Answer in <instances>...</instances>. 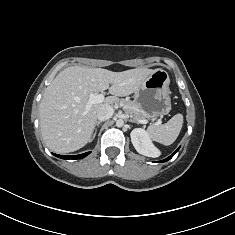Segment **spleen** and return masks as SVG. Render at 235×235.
Instances as JSON below:
<instances>
[{"instance_id": "obj_1", "label": "spleen", "mask_w": 235, "mask_h": 235, "mask_svg": "<svg viewBox=\"0 0 235 235\" xmlns=\"http://www.w3.org/2000/svg\"><path fill=\"white\" fill-rule=\"evenodd\" d=\"M183 124V116L177 114L167 123L159 126H150L147 130L149 136L163 145H171L178 137Z\"/></svg>"}]
</instances>
